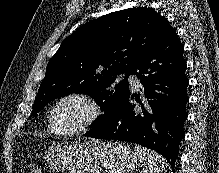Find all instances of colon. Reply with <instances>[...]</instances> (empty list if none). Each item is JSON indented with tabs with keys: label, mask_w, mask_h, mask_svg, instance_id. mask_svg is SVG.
<instances>
[{
	"label": "colon",
	"mask_w": 219,
	"mask_h": 173,
	"mask_svg": "<svg viewBox=\"0 0 219 173\" xmlns=\"http://www.w3.org/2000/svg\"><path fill=\"white\" fill-rule=\"evenodd\" d=\"M27 173H41V170L38 166L32 165L28 168Z\"/></svg>",
	"instance_id": "colon-1"
}]
</instances>
